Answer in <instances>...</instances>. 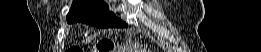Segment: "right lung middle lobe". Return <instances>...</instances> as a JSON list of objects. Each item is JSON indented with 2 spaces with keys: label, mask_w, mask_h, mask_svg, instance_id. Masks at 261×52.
Returning <instances> with one entry per match:
<instances>
[{
  "label": "right lung middle lobe",
  "mask_w": 261,
  "mask_h": 52,
  "mask_svg": "<svg viewBox=\"0 0 261 52\" xmlns=\"http://www.w3.org/2000/svg\"><path fill=\"white\" fill-rule=\"evenodd\" d=\"M67 22H82L99 28L125 27L127 24L109 12L102 0H74Z\"/></svg>",
  "instance_id": "dd1d6c3e"
}]
</instances>
